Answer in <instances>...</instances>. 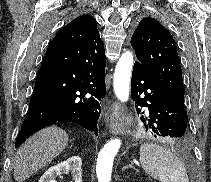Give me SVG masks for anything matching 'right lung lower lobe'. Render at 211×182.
Listing matches in <instances>:
<instances>
[{
	"label": "right lung lower lobe",
	"mask_w": 211,
	"mask_h": 182,
	"mask_svg": "<svg viewBox=\"0 0 211 182\" xmlns=\"http://www.w3.org/2000/svg\"><path fill=\"white\" fill-rule=\"evenodd\" d=\"M105 65L100 36L80 42L52 41L15 146L40 129L63 121L76 123L98 135L100 101L106 94Z\"/></svg>",
	"instance_id": "1"
}]
</instances>
